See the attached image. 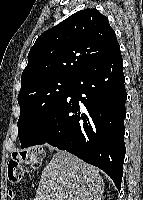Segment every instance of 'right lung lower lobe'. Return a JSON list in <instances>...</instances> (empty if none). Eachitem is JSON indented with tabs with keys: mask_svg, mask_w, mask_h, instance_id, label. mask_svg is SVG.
Wrapping results in <instances>:
<instances>
[{
	"mask_svg": "<svg viewBox=\"0 0 143 200\" xmlns=\"http://www.w3.org/2000/svg\"><path fill=\"white\" fill-rule=\"evenodd\" d=\"M125 77L120 48L86 67L44 118L27 147L48 143L105 171L121 188L125 157Z\"/></svg>",
	"mask_w": 143,
	"mask_h": 200,
	"instance_id": "98d812e1",
	"label": "right lung lower lobe"
}]
</instances>
